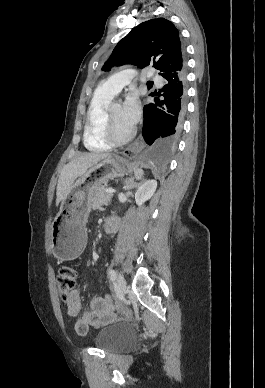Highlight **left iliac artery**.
I'll return each instance as SVG.
<instances>
[{
  "mask_svg": "<svg viewBox=\"0 0 265 388\" xmlns=\"http://www.w3.org/2000/svg\"><path fill=\"white\" fill-rule=\"evenodd\" d=\"M108 273H109L110 279L112 281H114L116 279V272H115V270L114 269H109Z\"/></svg>",
  "mask_w": 265,
  "mask_h": 388,
  "instance_id": "obj_1",
  "label": "left iliac artery"
}]
</instances>
